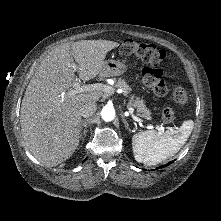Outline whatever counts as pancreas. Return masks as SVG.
I'll return each instance as SVG.
<instances>
[{
    "mask_svg": "<svg viewBox=\"0 0 221 221\" xmlns=\"http://www.w3.org/2000/svg\"><path fill=\"white\" fill-rule=\"evenodd\" d=\"M116 86L121 88L125 95H128V93L130 92L129 85L123 79H119ZM111 89L113 90V88ZM128 106L136 108L140 117H143L147 120L151 119V112L147 109L143 100H140L139 98L134 99V96H131V100Z\"/></svg>",
    "mask_w": 221,
    "mask_h": 221,
    "instance_id": "1",
    "label": "pancreas"
}]
</instances>
